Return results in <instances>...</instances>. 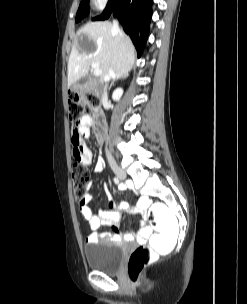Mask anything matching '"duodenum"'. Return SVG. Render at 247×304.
<instances>
[{
	"label": "duodenum",
	"mask_w": 247,
	"mask_h": 304,
	"mask_svg": "<svg viewBox=\"0 0 247 304\" xmlns=\"http://www.w3.org/2000/svg\"><path fill=\"white\" fill-rule=\"evenodd\" d=\"M107 118V115H101L100 110H97V115L92 116V119L94 120L93 135L97 136V141H99V144H102L103 138H107L108 136V131L106 130L107 124L105 121Z\"/></svg>",
	"instance_id": "410a0bca"
}]
</instances>
